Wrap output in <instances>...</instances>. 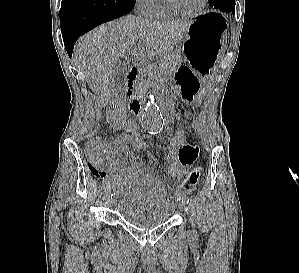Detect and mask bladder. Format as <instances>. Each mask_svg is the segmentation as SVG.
Instances as JSON below:
<instances>
[{
    "mask_svg": "<svg viewBox=\"0 0 299 273\" xmlns=\"http://www.w3.org/2000/svg\"><path fill=\"white\" fill-rule=\"evenodd\" d=\"M155 209L148 216L141 214L138 211H123L121 212L122 219L129 225L139 229H150L167 223L172 214L173 208Z\"/></svg>",
    "mask_w": 299,
    "mask_h": 273,
    "instance_id": "bladder-1",
    "label": "bladder"
}]
</instances>
